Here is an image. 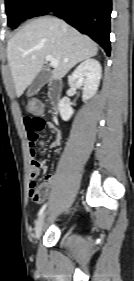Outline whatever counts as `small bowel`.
<instances>
[{"label":"small bowel","instance_id":"1","mask_svg":"<svg viewBox=\"0 0 134 281\" xmlns=\"http://www.w3.org/2000/svg\"><path fill=\"white\" fill-rule=\"evenodd\" d=\"M25 129L27 131L29 145H30V154H31V163H30V177L31 179L37 178L42 167H44L45 162L39 161L36 158V148L35 144L39 143L42 147L45 146V142L42 141L38 135V132L43 130L46 126L50 129L53 135V141L50 144L51 148H56L61 141V132L56 125L47 122L42 116H25L23 119ZM56 179L55 174H48L44 178V184L49 186L54 183Z\"/></svg>","mask_w":134,"mask_h":281}]
</instances>
